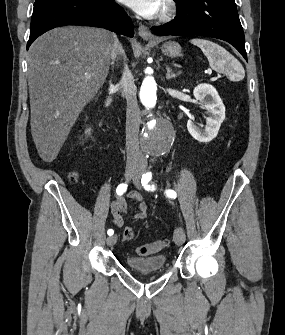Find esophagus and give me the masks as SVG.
Segmentation results:
<instances>
[{"instance_id":"esophagus-1","label":"esophagus","mask_w":285,"mask_h":335,"mask_svg":"<svg viewBox=\"0 0 285 335\" xmlns=\"http://www.w3.org/2000/svg\"><path fill=\"white\" fill-rule=\"evenodd\" d=\"M138 34L140 37L147 39V40H155V37L151 34V31L145 25L140 24L138 27Z\"/></svg>"}]
</instances>
